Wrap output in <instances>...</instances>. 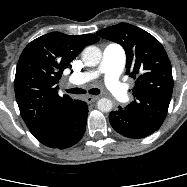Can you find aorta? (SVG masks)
<instances>
[{"instance_id":"762f6f07","label":"aorta","mask_w":187,"mask_h":187,"mask_svg":"<svg viewBox=\"0 0 187 187\" xmlns=\"http://www.w3.org/2000/svg\"><path fill=\"white\" fill-rule=\"evenodd\" d=\"M102 53L96 46H87L82 52V59L86 66L95 67L101 62ZM112 101L108 98H101L97 102V108L101 112H110L112 110Z\"/></svg>"}]
</instances>
